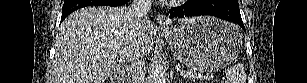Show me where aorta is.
Returning <instances> with one entry per match:
<instances>
[{
  "label": "aorta",
  "instance_id": "obj_1",
  "mask_svg": "<svg viewBox=\"0 0 307 83\" xmlns=\"http://www.w3.org/2000/svg\"><path fill=\"white\" fill-rule=\"evenodd\" d=\"M152 80L153 83H166V72L161 62L153 65Z\"/></svg>",
  "mask_w": 307,
  "mask_h": 83
}]
</instances>
